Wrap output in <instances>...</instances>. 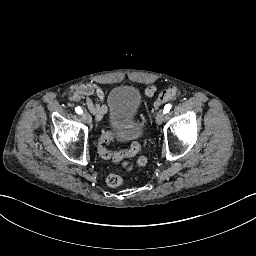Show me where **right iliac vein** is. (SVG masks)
<instances>
[{"instance_id": "63e3f726", "label": "right iliac vein", "mask_w": 256, "mask_h": 256, "mask_svg": "<svg viewBox=\"0 0 256 256\" xmlns=\"http://www.w3.org/2000/svg\"><path fill=\"white\" fill-rule=\"evenodd\" d=\"M82 116H83V120L85 122H87L88 124H90L92 122V118L89 113L84 112Z\"/></svg>"}]
</instances>
